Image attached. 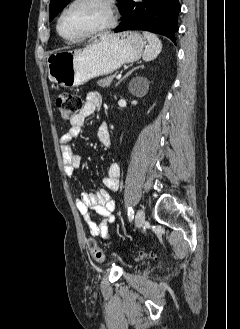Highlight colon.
Masks as SVG:
<instances>
[{
	"instance_id": "1",
	"label": "colon",
	"mask_w": 240,
	"mask_h": 329,
	"mask_svg": "<svg viewBox=\"0 0 240 329\" xmlns=\"http://www.w3.org/2000/svg\"><path fill=\"white\" fill-rule=\"evenodd\" d=\"M56 107L59 110L60 118L64 121H71L83 107L82 98L74 93L61 92L56 97ZM88 247L92 258L101 263L105 260L103 251L94 240L88 242ZM141 257H145L142 254Z\"/></svg>"
}]
</instances>
